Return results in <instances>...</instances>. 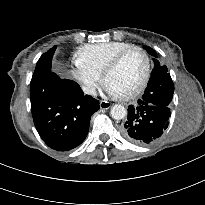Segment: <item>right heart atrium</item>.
<instances>
[{
    "label": "right heart atrium",
    "instance_id": "1",
    "mask_svg": "<svg viewBox=\"0 0 205 205\" xmlns=\"http://www.w3.org/2000/svg\"><path fill=\"white\" fill-rule=\"evenodd\" d=\"M72 74L87 94L93 95L95 93L100 82V76L82 66L77 61L75 62Z\"/></svg>",
    "mask_w": 205,
    "mask_h": 205
}]
</instances>
